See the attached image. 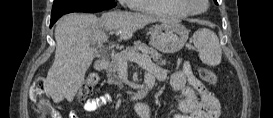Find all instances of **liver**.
Wrapping results in <instances>:
<instances>
[{"label": "liver", "instance_id": "1", "mask_svg": "<svg viewBox=\"0 0 273 118\" xmlns=\"http://www.w3.org/2000/svg\"><path fill=\"white\" fill-rule=\"evenodd\" d=\"M158 20L152 15L120 11L102 14L100 18L92 14H69L61 18L54 33L55 59L46 78V90L53 101L74 99L95 58L90 44L108 41L105 30H116L119 40H127L137 30Z\"/></svg>", "mask_w": 273, "mask_h": 118}]
</instances>
